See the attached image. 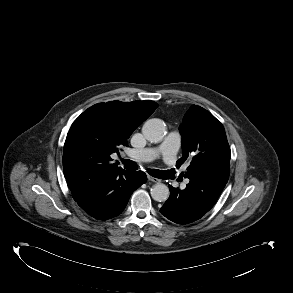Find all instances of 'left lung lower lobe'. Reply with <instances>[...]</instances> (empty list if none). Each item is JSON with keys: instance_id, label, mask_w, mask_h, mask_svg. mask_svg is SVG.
I'll return each mask as SVG.
<instances>
[{"instance_id": "obj_1", "label": "left lung lower lobe", "mask_w": 293, "mask_h": 293, "mask_svg": "<svg viewBox=\"0 0 293 293\" xmlns=\"http://www.w3.org/2000/svg\"><path fill=\"white\" fill-rule=\"evenodd\" d=\"M225 185L202 178L190 179L183 190L169 185L170 197L160 212L178 224L194 222L213 207Z\"/></svg>"}]
</instances>
